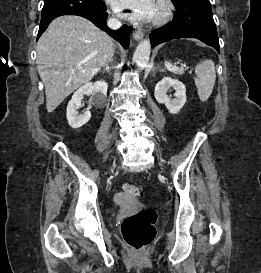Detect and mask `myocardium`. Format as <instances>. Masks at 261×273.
<instances>
[{
  "instance_id": "1",
  "label": "myocardium",
  "mask_w": 261,
  "mask_h": 273,
  "mask_svg": "<svg viewBox=\"0 0 261 273\" xmlns=\"http://www.w3.org/2000/svg\"><path fill=\"white\" fill-rule=\"evenodd\" d=\"M174 6L170 0H158L157 13L153 17V24L162 25L172 17Z\"/></svg>"
}]
</instances>
